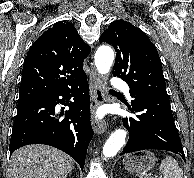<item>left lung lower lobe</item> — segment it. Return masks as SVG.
Masks as SVG:
<instances>
[{"label":"left lung lower lobe","instance_id":"obj_1","mask_svg":"<svg viewBox=\"0 0 194 178\" xmlns=\"http://www.w3.org/2000/svg\"><path fill=\"white\" fill-rule=\"evenodd\" d=\"M132 113L137 118L125 119L124 126L129 131V139L123 154L145 150L159 149L185 155L178 131L176 129L167 94H154L130 90Z\"/></svg>","mask_w":194,"mask_h":178}]
</instances>
